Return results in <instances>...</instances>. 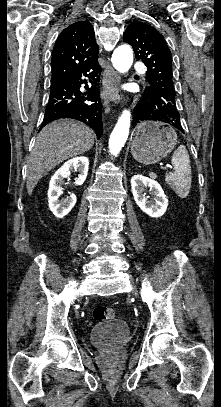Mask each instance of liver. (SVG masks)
<instances>
[{
    "mask_svg": "<svg viewBox=\"0 0 221 407\" xmlns=\"http://www.w3.org/2000/svg\"><path fill=\"white\" fill-rule=\"evenodd\" d=\"M94 139V132L78 121L65 119L46 125L38 134L28 160V194H32L39 180L54 167L90 150Z\"/></svg>",
    "mask_w": 221,
    "mask_h": 407,
    "instance_id": "liver-1",
    "label": "liver"
}]
</instances>
